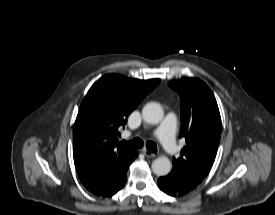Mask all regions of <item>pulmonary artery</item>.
Listing matches in <instances>:
<instances>
[{
    "mask_svg": "<svg viewBox=\"0 0 275 215\" xmlns=\"http://www.w3.org/2000/svg\"><path fill=\"white\" fill-rule=\"evenodd\" d=\"M177 127L176 118L169 114L162 124L154 131V136L159 139L167 154L173 155L177 152L175 143V131Z\"/></svg>",
    "mask_w": 275,
    "mask_h": 215,
    "instance_id": "obj_1",
    "label": "pulmonary artery"
}]
</instances>
